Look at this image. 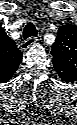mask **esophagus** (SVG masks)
<instances>
[{
	"instance_id": "34e87169",
	"label": "esophagus",
	"mask_w": 77,
	"mask_h": 125,
	"mask_svg": "<svg viewBox=\"0 0 77 125\" xmlns=\"http://www.w3.org/2000/svg\"><path fill=\"white\" fill-rule=\"evenodd\" d=\"M36 41H38V38L37 37H30L28 38L27 40H25L20 48L21 50H27L28 48H30L34 43H36Z\"/></svg>"
}]
</instances>
